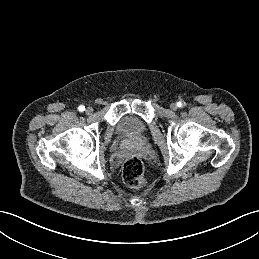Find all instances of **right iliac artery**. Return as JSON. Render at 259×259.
I'll list each match as a JSON object with an SVG mask.
<instances>
[{
    "label": "right iliac artery",
    "mask_w": 259,
    "mask_h": 259,
    "mask_svg": "<svg viewBox=\"0 0 259 259\" xmlns=\"http://www.w3.org/2000/svg\"><path fill=\"white\" fill-rule=\"evenodd\" d=\"M78 110H79L80 112H83V111L85 110V106L80 105V106L78 107Z\"/></svg>",
    "instance_id": "82829eb1"
}]
</instances>
